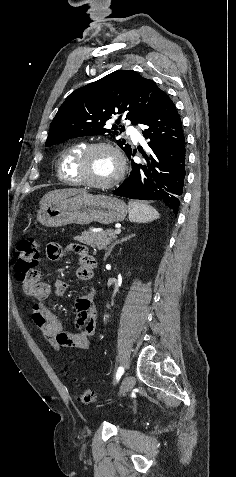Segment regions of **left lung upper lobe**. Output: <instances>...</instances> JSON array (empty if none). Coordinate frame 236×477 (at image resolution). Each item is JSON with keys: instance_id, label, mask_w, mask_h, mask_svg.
<instances>
[{"instance_id": "1", "label": "left lung upper lobe", "mask_w": 236, "mask_h": 477, "mask_svg": "<svg viewBox=\"0 0 236 477\" xmlns=\"http://www.w3.org/2000/svg\"><path fill=\"white\" fill-rule=\"evenodd\" d=\"M162 90L134 71H115L72 92L50 124L46 146L87 135H119L124 131L120 119L146 127L154 116ZM115 120L112 130L105 128ZM118 146L130 156L132 148L125 140Z\"/></svg>"}]
</instances>
